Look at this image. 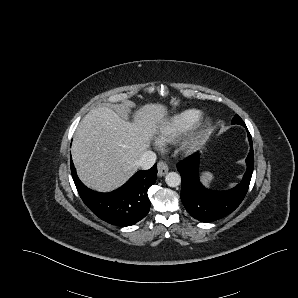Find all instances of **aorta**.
<instances>
[{"mask_svg":"<svg viewBox=\"0 0 298 298\" xmlns=\"http://www.w3.org/2000/svg\"><path fill=\"white\" fill-rule=\"evenodd\" d=\"M165 183L170 187H176L181 184V176L176 171H169L165 174Z\"/></svg>","mask_w":298,"mask_h":298,"instance_id":"obj_1","label":"aorta"}]
</instances>
